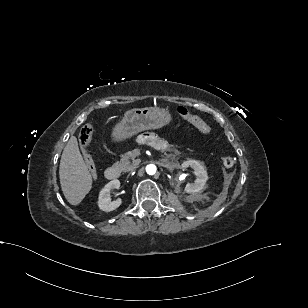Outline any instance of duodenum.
<instances>
[{"label":"duodenum","instance_id":"1","mask_svg":"<svg viewBox=\"0 0 308 308\" xmlns=\"http://www.w3.org/2000/svg\"><path fill=\"white\" fill-rule=\"evenodd\" d=\"M164 145L160 144L159 148H163ZM121 171L118 167L116 166H110L105 170V177L108 180H116L120 177Z\"/></svg>","mask_w":308,"mask_h":308}]
</instances>
